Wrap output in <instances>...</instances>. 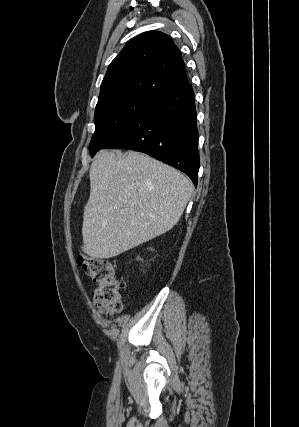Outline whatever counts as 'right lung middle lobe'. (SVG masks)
<instances>
[{
	"instance_id": "1",
	"label": "right lung middle lobe",
	"mask_w": 299,
	"mask_h": 427,
	"mask_svg": "<svg viewBox=\"0 0 299 427\" xmlns=\"http://www.w3.org/2000/svg\"><path fill=\"white\" fill-rule=\"evenodd\" d=\"M154 99L133 94L115 95L98 101L95 109V132L89 149L95 153L124 132Z\"/></svg>"
}]
</instances>
